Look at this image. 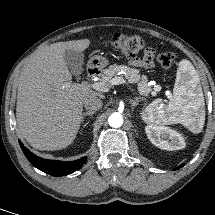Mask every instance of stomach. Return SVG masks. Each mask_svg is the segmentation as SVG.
<instances>
[{"label": "stomach", "mask_w": 215, "mask_h": 215, "mask_svg": "<svg viewBox=\"0 0 215 215\" xmlns=\"http://www.w3.org/2000/svg\"><path fill=\"white\" fill-rule=\"evenodd\" d=\"M90 66L102 70L104 67L108 65V60L104 56L96 55L92 57L89 61ZM149 122V121H146Z\"/></svg>", "instance_id": "0dacf381"}]
</instances>
